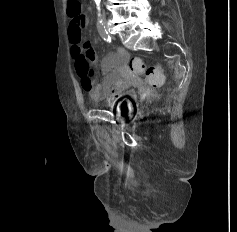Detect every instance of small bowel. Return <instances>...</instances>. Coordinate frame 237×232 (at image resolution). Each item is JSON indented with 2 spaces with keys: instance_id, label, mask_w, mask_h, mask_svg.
Instances as JSON below:
<instances>
[{
  "instance_id": "c3829d8e",
  "label": "small bowel",
  "mask_w": 237,
  "mask_h": 232,
  "mask_svg": "<svg viewBox=\"0 0 237 232\" xmlns=\"http://www.w3.org/2000/svg\"><path fill=\"white\" fill-rule=\"evenodd\" d=\"M86 24L87 17L82 13L80 19H71L68 27L71 55L75 60L77 74L83 89L93 100L113 104L124 97L131 86V82L124 78L128 74L129 53L118 48L115 54L107 55L100 65L103 79L98 83L94 49L82 39V29Z\"/></svg>"
}]
</instances>
